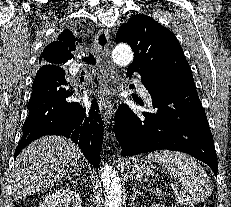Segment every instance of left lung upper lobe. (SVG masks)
<instances>
[{
    "instance_id": "obj_1",
    "label": "left lung upper lobe",
    "mask_w": 231,
    "mask_h": 207,
    "mask_svg": "<svg viewBox=\"0 0 231 207\" xmlns=\"http://www.w3.org/2000/svg\"><path fill=\"white\" fill-rule=\"evenodd\" d=\"M116 41L128 43L135 53L128 69L159 74L168 92L195 87L190 66L175 35L153 18L134 15L120 27Z\"/></svg>"
}]
</instances>
